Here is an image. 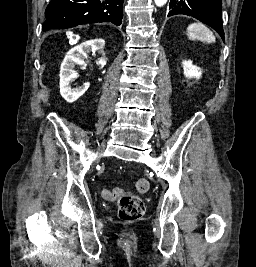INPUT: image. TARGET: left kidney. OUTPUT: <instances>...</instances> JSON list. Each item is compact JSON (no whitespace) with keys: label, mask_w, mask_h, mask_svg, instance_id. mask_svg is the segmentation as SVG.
Segmentation results:
<instances>
[{"label":"left kidney","mask_w":256,"mask_h":267,"mask_svg":"<svg viewBox=\"0 0 256 267\" xmlns=\"http://www.w3.org/2000/svg\"><path fill=\"white\" fill-rule=\"evenodd\" d=\"M182 68L184 76H186V78H196V80H200L202 72L200 68H197V66H193L192 60H183Z\"/></svg>","instance_id":"left-kidney-1"}]
</instances>
